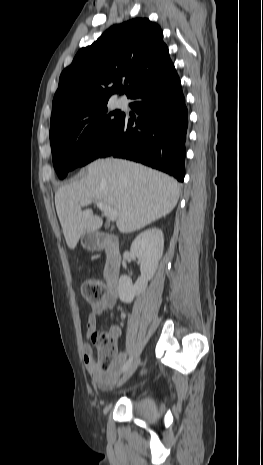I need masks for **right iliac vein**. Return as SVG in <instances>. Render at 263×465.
<instances>
[{
    "instance_id": "1",
    "label": "right iliac vein",
    "mask_w": 263,
    "mask_h": 465,
    "mask_svg": "<svg viewBox=\"0 0 263 465\" xmlns=\"http://www.w3.org/2000/svg\"><path fill=\"white\" fill-rule=\"evenodd\" d=\"M141 360L140 358H137L130 366L129 368L125 371L121 379L119 380L117 387L122 386L136 371L137 367L139 366Z\"/></svg>"
}]
</instances>
